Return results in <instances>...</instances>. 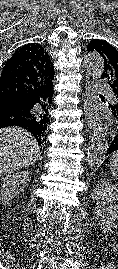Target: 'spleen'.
Segmentation results:
<instances>
[{"label": "spleen", "instance_id": "obj_1", "mask_svg": "<svg viewBox=\"0 0 118 269\" xmlns=\"http://www.w3.org/2000/svg\"><path fill=\"white\" fill-rule=\"evenodd\" d=\"M110 170L112 175L118 179V151H116L111 157Z\"/></svg>", "mask_w": 118, "mask_h": 269}]
</instances>
